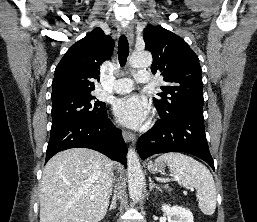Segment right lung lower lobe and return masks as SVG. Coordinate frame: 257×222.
<instances>
[{
	"instance_id": "98d812e1",
	"label": "right lung lower lobe",
	"mask_w": 257,
	"mask_h": 222,
	"mask_svg": "<svg viewBox=\"0 0 257 222\" xmlns=\"http://www.w3.org/2000/svg\"><path fill=\"white\" fill-rule=\"evenodd\" d=\"M79 147L99 151L126 166L127 146L107 113L93 122L70 121L51 128L46 162L60 151Z\"/></svg>"
}]
</instances>
